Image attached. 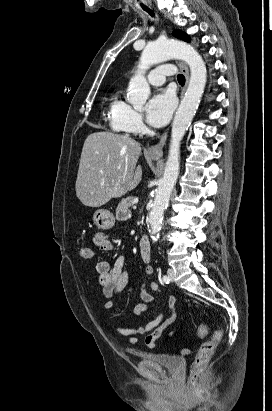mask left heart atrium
Returning a JSON list of instances; mask_svg holds the SVG:
<instances>
[{"instance_id": "39dd6f15", "label": "left heart atrium", "mask_w": 272, "mask_h": 411, "mask_svg": "<svg viewBox=\"0 0 272 411\" xmlns=\"http://www.w3.org/2000/svg\"><path fill=\"white\" fill-rule=\"evenodd\" d=\"M174 109V96L168 91H162L149 100L147 120L154 127H162L169 121Z\"/></svg>"}]
</instances>
